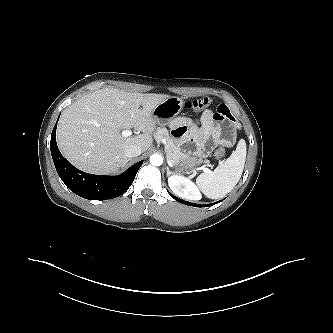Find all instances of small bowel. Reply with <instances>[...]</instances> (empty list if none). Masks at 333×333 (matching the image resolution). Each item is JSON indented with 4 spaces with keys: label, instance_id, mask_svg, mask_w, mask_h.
I'll use <instances>...</instances> for the list:
<instances>
[{
    "label": "small bowel",
    "instance_id": "1",
    "mask_svg": "<svg viewBox=\"0 0 333 333\" xmlns=\"http://www.w3.org/2000/svg\"><path fill=\"white\" fill-rule=\"evenodd\" d=\"M171 127L174 136L194 147V154L206 156L215 147L234 142L237 124L227 105L220 104L215 111H204L199 122L179 117L172 121Z\"/></svg>",
    "mask_w": 333,
    "mask_h": 333
}]
</instances>
